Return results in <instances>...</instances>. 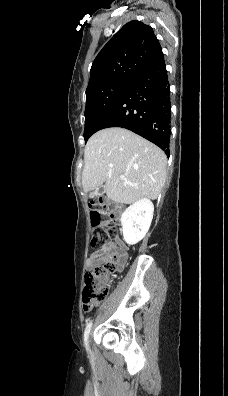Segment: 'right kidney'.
Wrapping results in <instances>:
<instances>
[{"instance_id":"obj_1","label":"right kidney","mask_w":228,"mask_h":396,"mask_svg":"<svg viewBox=\"0 0 228 396\" xmlns=\"http://www.w3.org/2000/svg\"><path fill=\"white\" fill-rule=\"evenodd\" d=\"M154 205L142 198L130 205L121 215L123 238L129 245H134L144 238L153 218Z\"/></svg>"}]
</instances>
